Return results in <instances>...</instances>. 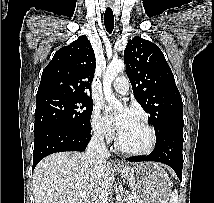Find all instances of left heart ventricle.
<instances>
[{
  "label": "left heart ventricle",
  "mask_w": 214,
  "mask_h": 203,
  "mask_svg": "<svg viewBox=\"0 0 214 203\" xmlns=\"http://www.w3.org/2000/svg\"><path fill=\"white\" fill-rule=\"evenodd\" d=\"M120 141L126 148L142 149L149 143V133L139 120H135L120 132Z\"/></svg>",
  "instance_id": "left-heart-ventricle-1"
}]
</instances>
